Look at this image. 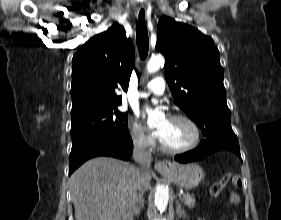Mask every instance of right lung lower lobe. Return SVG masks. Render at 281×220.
<instances>
[{"label": "right lung lower lobe", "mask_w": 281, "mask_h": 220, "mask_svg": "<svg viewBox=\"0 0 281 220\" xmlns=\"http://www.w3.org/2000/svg\"><path fill=\"white\" fill-rule=\"evenodd\" d=\"M133 142L131 137L119 139H89L72 144L69 158V175L86 160L98 156H111L129 160L132 155Z\"/></svg>", "instance_id": "obj_1"}]
</instances>
